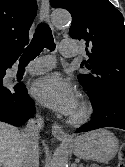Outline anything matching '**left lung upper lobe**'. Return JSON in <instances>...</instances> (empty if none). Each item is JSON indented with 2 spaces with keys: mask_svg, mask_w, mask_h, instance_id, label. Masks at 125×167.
Returning <instances> with one entry per match:
<instances>
[{
  "mask_svg": "<svg viewBox=\"0 0 125 167\" xmlns=\"http://www.w3.org/2000/svg\"><path fill=\"white\" fill-rule=\"evenodd\" d=\"M54 8L72 15L69 35L86 40L89 57L79 74L91 103L106 92L125 91V26L122 14L108 0H50Z\"/></svg>",
  "mask_w": 125,
  "mask_h": 167,
  "instance_id": "obj_1",
  "label": "left lung upper lobe"
}]
</instances>
